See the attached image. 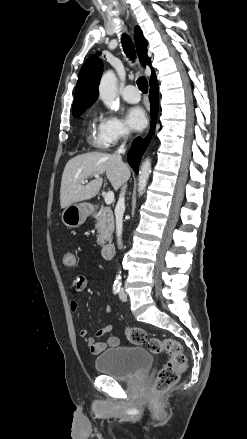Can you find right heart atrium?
I'll return each mask as SVG.
<instances>
[{"mask_svg":"<svg viewBox=\"0 0 247 439\" xmlns=\"http://www.w3.org/2000/svg\"><path fill=\"white\" fill-rule=\"evenodd\" d=\"M99 138L105 147L114 146L129 135L128 128L117 116L108 114L101 118L98 127Z\"/></svg>","mask_w":247,"mask_h":439,"instance_id":"right-heart-atrium-1","label":"right heart atrium"}]
</instances>
